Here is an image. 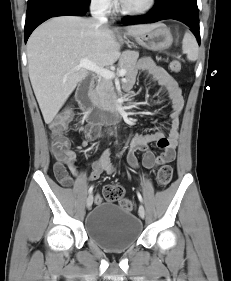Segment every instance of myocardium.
Masks as SVG:
<instances>
[{
  "label": "myocardium",
  "instance_id": "1",
  "mask_svg": "<svg viewBox=\"0 0 231 281\" xmlns=\"http://www.w3.org/2000/svg\"><path fill=\"white\" fill-rule=\"evenodd\" d=\"M156 0H148L147 4L141 8H129L120 2V10L125 15L140 16L151 12L156 6Z\"/></svg>",
  "mask_w": 231,
  "mask_h": 281
}]
</instances>
